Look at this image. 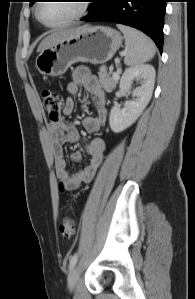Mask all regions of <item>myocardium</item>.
Segmentation results:
<instances>
[{"label":"myocardium","instance_id":"f54148a6","mask_svg":"<svg viewBox=\"0 0 195 299\" xmlns=\"http://www.w3.org/2000/svg\"><path fill=\"white\" fill-rule=\"evenodd\" d=\"M80 2V6H79V11L77 12V14H75L74 16L66 19L65 21L63 22H60V23H57V24H48L46 23L45 21L42 20L40 14H39V11H40V7H41V4L42 3H37L36 7H35V16L37 18V20L43 24L45 27H48V28H60V27H64V26H67L75 21H78L80 19H82L87 13H88V10H89V3L87 0H79Z\"/></svg>","mask_w":195,"mask_h":299}]
</instances>
